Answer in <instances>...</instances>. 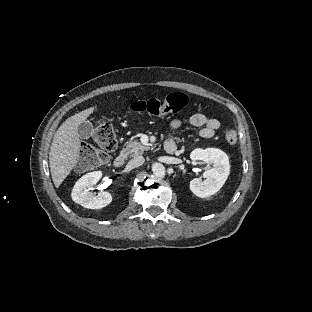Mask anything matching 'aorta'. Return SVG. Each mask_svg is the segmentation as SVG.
<instances>
[{
	"label": "aorta",
	"instance_id": "aorta-1",
	"mask_svg": "<svg viewBox=\"0 0 312 312\" xmlns=\"http://www.w3.org/2000/svg\"><path fill=\"white\" fill-rule=\"evenodd\" d=\"M152 170L156 177L164 178L166 175L165 167L162 164L159 163L154 164Z\"/></svg>",
	"mask_w": 312,
	"mask_h": 312
}]
</instances>
